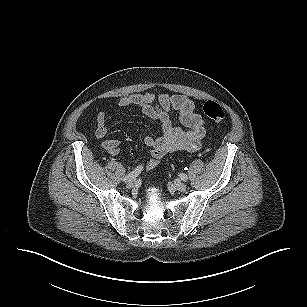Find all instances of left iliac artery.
<instances>
[{
  "label": "left iliac artery",
  "instance_id": "1",
  "mask_svg": "<svg viewBox=\"0 0 307 307\" xmlns=\"http://www.w3.org/2000/svg\"><path fill=\"white\" fill-rule=\"evenodd\" d=\"M179 177H180V179L183 180V181H187V179H188L187 175L184 174V173H181V174L179 175Z\"/></svg>",
  "mask_w": 307,
  "mask_h": 307
}]
</instances>
